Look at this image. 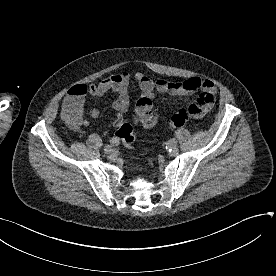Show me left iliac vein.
<instances>
[{"label":"left iliac vein","mask_w":276,"mask_h":276,"mask_svg":"<svg viewBox=\"0 0 276 276\" xmlns=\"http://www.w3.org/2000/svg\"><path fill=\"white\" fill-rule=\"evenodd\" d=\"M179 152V149L176 146H173L169 150V155L170 156H176Z\"/></svg>","instance_id":"4c4485c4"}]
</instances>
